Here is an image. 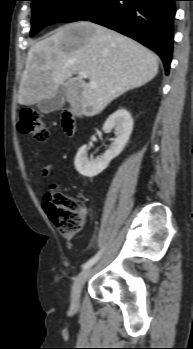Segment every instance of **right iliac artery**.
Returning a JSON list of instances; mask_svg holds the SVG:
<instances>
[{
    "label": "right iliac artery",
    "mask_w": 193,
    "mask_h": 349,
    "mask_svg": "<svg viewBox=\"0 0 193 349\" xmlns=\"http://www.w3.org/2000/svg\"><path fill=\"white\" fill-rule=\"evenodd\" d=\"M102 251L98 252L94 257H92L91 259H89L84 265H83V269H87L89 267H91L100 257Z\"/></svg>",
    "instance_id": "right-iliac-artery-1"
}]
</instances>
